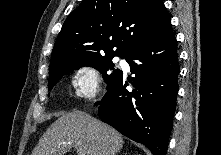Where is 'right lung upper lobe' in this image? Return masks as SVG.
<instances>
[{
  "mask_svg": "<svg viewBox=\"0 0 221 155\" xmlns=\"http://www.w3.org/2000/svg\"><path fill=\"white\" fill-rule=\"evenodd\" d=\"M170 23L161 0H84L58 34L49 72L80 62L127 57L143 37Z\"/></svg>",
  "mask_w": 221,
  "mask_h": 155,
  "instance_id": "obj_1",
  "label": "right lung upper lobe"
}]
</instances>
